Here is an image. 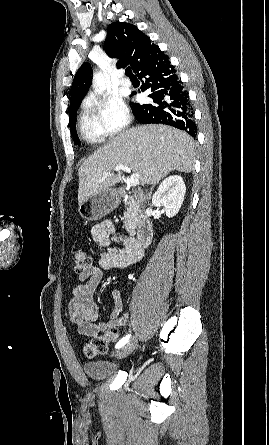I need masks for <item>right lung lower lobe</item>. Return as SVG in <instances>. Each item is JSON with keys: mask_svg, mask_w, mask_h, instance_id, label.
<instances>
[{"mask_svg": "<svg viewBox=\"0 0 269 445\" xmlns=\"http://www.w3.org/2000/svg\"><path fill=\"white\" fill-rule=\"evenodd\" d=\"M137 76L145 79L141 91L151 89L149 97L153 99V103H132L135 118L143 124L162 123L195 136L197 126L193 120V108L189 103L188 92L167 55L163 54L145 65Z\"/></svg>", "mask_w": 269, "mask_h": 445, "instance_id": "98d812e1", "label": "right lung lower lobe"}]
</instances>
